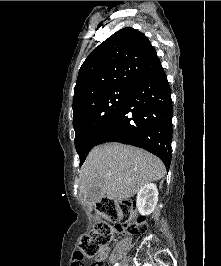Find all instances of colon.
<instances>
[{
    "mask_svg": "<svg viewBox=\"0 0 221 266\" xmlns=\"http://www.w3.org/2000/svg\"><path fill=\"white\" fill-rule=\"evenodd\" d=\"M95 215L97 221L93 229L83 235L79 243V252H84L86 258H98L116 233L142 235L147 230L146 219L136 214V202L133 200L115 201L104 198L97 202ZM91 266L106 264L104 260L97 259Z\"/></svg>",
    "mask_w": 221,
    "mask_h": 266,
    "instance_id": "1",
    "label": "colon"
}]
</instances>
